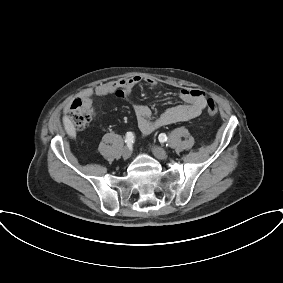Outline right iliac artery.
<instances>
[{"instance_id": "obj_1", "label": "right iliac artery", "mask_w": 283, "mask_h": 283, "mask_svg": "<svg viewBox=\"0 0 283 283\" xmlns=\"http://www.w3.org/2000/svg\"><path fill=\"white\" fill-rule=\"evenodd\" d=\"M133 142H134V134L132 132H127L125 143L127 144V146H131Z\"/></svg>"}]
</instances>
